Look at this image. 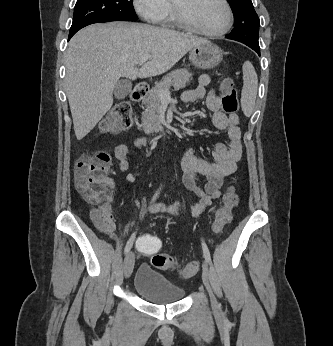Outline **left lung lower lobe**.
Returning a JSON list of instances; mask_svg holds the SVG:
<instances>
[{
  "instance_id": "1",
  "label": "left lung lower lobe",
  "mask_w": 333,
  "mask_h": 346,
  "mask_svg": "<svg viewBox=\"0 0 333 346\" xmlns=\"http://www.w3.org/2000/svg\"><path fill=\"white\" fill-rule=\"evenodd\" d=\"M247 46H249L250 48H252L254 51H256L258 53V55L260 56V47L259 44H248Z\"/></svg>"
}]
</instances>
